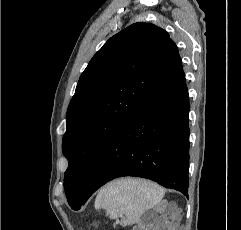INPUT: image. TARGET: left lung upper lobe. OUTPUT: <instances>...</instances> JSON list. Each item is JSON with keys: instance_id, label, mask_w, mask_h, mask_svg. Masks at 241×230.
I'll use <instances>...</instances> for the list:
<instances>
[{"instance_id": "left-lung-upper-lobe-1", "label": "left lung upper lobe", "mask_w": 241, "mask_h": 230, "mask_svg": "<svg viewBox=\"0 0 241 230\" xmlns=\"http://www.w3.org/2000/svg\"><path fill=\"white\" fill-rule=\"evenodd\" d=\"M181 64L168 32L144 22L120 31L93 56L67 111L62 148L69 205L82 198L103 146Z\"/></svg>"}]
</instances>
